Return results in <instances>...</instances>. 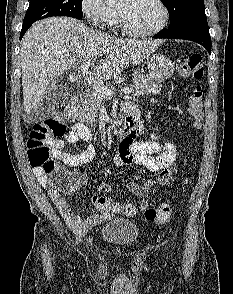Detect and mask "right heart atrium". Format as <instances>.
Wrapping results in <instances>:
<instances>
[{"instance_id": "1", "label": "right heart atrium", "mask_w": 233, "mask_h": 294, "mask_svg": "<svg viewBox=\"0 0 233 294\" xmlns=\"http://www.w3.org/2000/svg\"><path fill=\"white\" fill-rule=\"evenodd\" d=\"M80 8L87 22L94 27L107 29L116 24L117 12L104 0H81Z\"/></svg>"}]
</instances>
